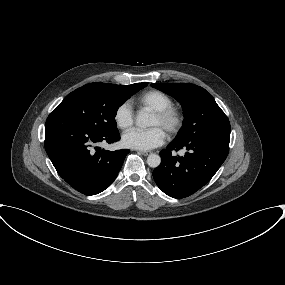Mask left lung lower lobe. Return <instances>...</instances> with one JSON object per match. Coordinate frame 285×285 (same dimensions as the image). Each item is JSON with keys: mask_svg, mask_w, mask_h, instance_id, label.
Returning <instances> with one entry per match:
<instances>
[{"mask_svg": "<svg viewBox=\"0 0 285 285\" xmlns=\"http://www.w3.org/2000/svg\"><path fill=\"white\" fill-rule=\"evenodd\" d=\"M184 149L183 157L172 151ZM229 152V140L195 138L188 142L173 141L160 152L161 164L153 171L158 187L168 196L184 198L203 187L214 176Z\"/></svg>", "mask_w": 285, "mask_h": 285, "instance_id": "obj_1", "label": "left lung lower lobe"}]
</instances>
